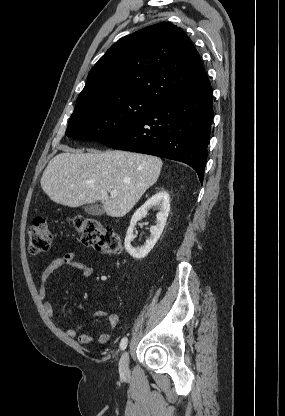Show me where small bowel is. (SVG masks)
<instances>
[{
    "label": "small bowel",
    "mask_w": 285,
    "mask_h": 416,
    "mask_svg": "<svg viewBox=\"0 0 285 416\" xmlns=\"http://www.w3.org/2000/svg\"><path fill=\"white\" fill-rule=\"evenodd\" d=\"M61 268L77 270L83 277H90L93 273V267L91 265L75 260L73 254L71 253L55 258L43 270L40 277L38 295L42 302L44 312L50 319H54L55 312L52 303L47 298L49 283L52 275ZM95 317H106L109 330H113L118 324V317L115 314H107L104 311H97L95 313ZM87 328V325H82L76 328H63L62 330L69 338L76 339L81 345H87L94 341L99 344H105L108 342L110 337L108 333H101L94 338L86 332Z\"/></svg>",
    "instance_id": "small-bowel-1"
}]
</instances>
